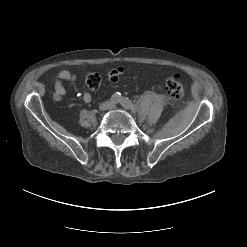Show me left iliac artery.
<instances>
[{
    "instance_id": "left-iliac-artery-1",
    "label": "left iliac artery",
    "mask_w": 247,
    "mask_h": 247,
    "mask_svg": "<svg viewBox=\"0 0 247 247\" xmlns=\"http://www.w3.org/2000/svg\"><path fill=\"white\" fill-rule=\"evenodd\" d=\"M120 103L126 109H133L132 101L126 97L122 98Z\"/></svg>"
}]
</instances>
